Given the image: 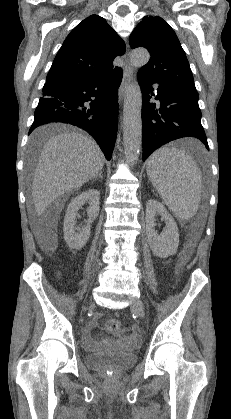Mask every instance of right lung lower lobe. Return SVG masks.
<instances>
[{
	"instance_id": "1",
	"label": "right lung lower lobe",
	"mask_w": 231,
	"mask_h": 419,
	"mask_svg": "<svg viewBox=\"0 0 231 419\" xmlns=\"http://www.w3.org/2000/svg\"><path fill=\"white\" fill-rule=\"evenodd\" d=\"M121 80L122 69L118 68L98 78L44 87L29 134L47 123L74 124L86 130L110 160L117 136Z\"/></svg>"
}]
</instances>
